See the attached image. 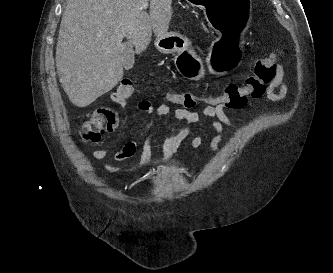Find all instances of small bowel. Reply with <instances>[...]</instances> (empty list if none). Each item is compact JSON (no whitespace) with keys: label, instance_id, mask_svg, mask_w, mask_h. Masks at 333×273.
Returning <instances> with one entry per match:
<instances>
[{"label":"small bowel","instance_id":"1","mask_svg":"<svg viewBox=\"0 0 333 273\" xmlns=\"http://www.w3.org/2000/svg\"><path fill=\"white\" fill-rule=\"evenodd\" d=\"M270 55H275L271 53ZM288 93V85L285 78L284 66L276 61L275 72L272 80L268 83L265 93L261 96L262 100L270 102L282 101ZM225 94V93H222ZM112 101L125 106L127 98L118 95L117 92L113 93L111 97ZM253 108V103L248 102L244 105ZM230 110L240 114L243 109H200L198 111L192 109L176 108L172 109L167 104H160L155 107H151L150 101H143L139 105V114H148V118L144 124V137L141 147L139 159L135 165L136 168L145 166L152 154V142H153V126L156 117L170 116L174 120L184 121L186 125L178 129L177 131L170 132L165 137L162 151L163 158L167 162L173 158L179 157V147L181 142L189 136L192 131V125L198 123L201 118L212 119L210 127L216 132L215 137L211 141V151L213 155H216L219 150V145L225 137L226 129L233 128V122L227 115L226 111ZM117 125L114 127L116 128ZM203 139L201 135H195L192 138L190 147L193 152H197L202 145ZM137 151V142L130 140L124 144V146L113 154L115 161L122 162L131 159L135 156ZM109 148H99L93 151L92 157L94 160H104L111 154ZM103 168L110 174H118L123 172L126 168L118 165L104 163Z\"/></svg>","mask_w":333,"mask_h":273}]
</instances>
